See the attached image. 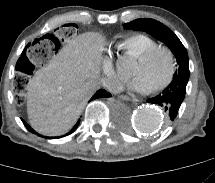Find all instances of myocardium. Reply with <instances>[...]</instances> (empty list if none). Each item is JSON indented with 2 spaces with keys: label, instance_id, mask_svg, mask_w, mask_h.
Segmentation results:
<instances>
[{
  "label": "myocardium",
  "instance_id": "1",
  "mask_svg": "<svg viewBox=\"0 0 215 183\" xmlns=\"http://www.w3.org/2000/svg\"><path fill=\"white\" fill-rule=\"evenodd\" d=\"M159 53H163L168 57V59L170 61V71H169L168 77L162 83H160L159 85L150 89V91L153 93L159 92V91L165 89L174 80L175 75H176V70H177V63H176L175 56L168 47L160 46V45H158L154 48H151V49L147 50L146 52L141 53L140 55L137 56V59L139 61L145 62V61H149L150 59H152L155 55H157Z\"/></svg>",
  "mask_w": 215,
  "mask_h": 183
}]
</instances>
